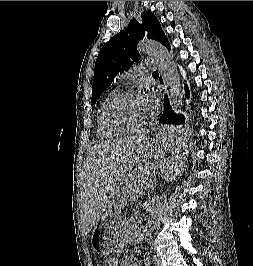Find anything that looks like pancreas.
I'll use <instances>...</instances> for the list:
<instances>
[{
	"mask_svg": "<svg viewBox=\"0 0 253 266\" xmlns=\"http://www.w3.org/2000/svg\"><path fill=\"white\" fill-rule=\"evenodd\" d=\"M146 179L148 180L146 177H141L138 172L126 175L121 183V201H136V199L141 196L139 192L144 191L143 183ZM120 241H123V238H121Z\"/></svg>",
	"mask_w": 253,
	"mask_h": 266,
	"instance_id": "cf45deb5",
	"label": "pancreas"
}]
</instances>
